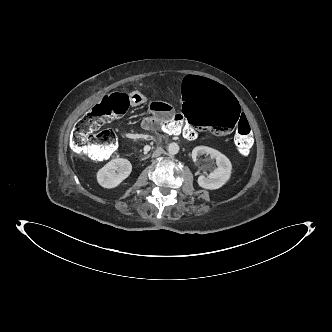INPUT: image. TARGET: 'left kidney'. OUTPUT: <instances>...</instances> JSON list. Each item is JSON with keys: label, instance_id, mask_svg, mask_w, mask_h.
<instances>
[{"label": "left kidney", "instance_id": "obj_1", "mask_svg": "<svg viewBox=\"0 0 332 332\" xmlns=\"http://www.w3.org/2000/svg\"><path fill=\"white\" fill-rule=\"evenodd\" d=\"M200 155H207V160H216L217 167L206 178L204 176L198 177V185L204 189L216 190L221 188L231 176L232 164L230 160L218 150L207 146H197L192 151V159L194 162L198 161Z\"/></svg>", "mask_w": 332, "mask_h": 332}]
</instances>
